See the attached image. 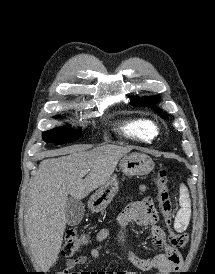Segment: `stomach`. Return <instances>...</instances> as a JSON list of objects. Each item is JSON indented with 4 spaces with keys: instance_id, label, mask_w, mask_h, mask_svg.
Here are the masks:
<instances>
[{
    "instance_id": "1",
    "label": "stomach",
    "mask_w": 215,
    "mask_h": 274,
    "mask_svg": "<svg viewBox=\"0 0 215 274\" xmlns=\"http://www.w3.org/2000/svg\"><path fill=\"white\" fill-rule=\"evenodd\" d=\"M122 172L126 176L147 175L154 167L152 159L141 153H132L124 156L120 161ZM119 189L117 177L112 176L105 184L92 195L89 207L92 211L97 212L105 209L111 202Z\"/></svg>"
}]
</instances>
